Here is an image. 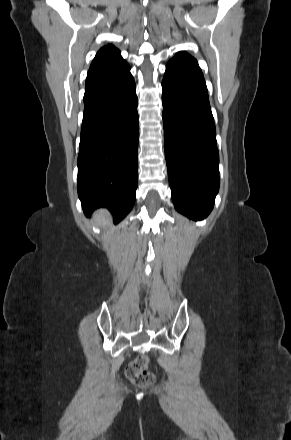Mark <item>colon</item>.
Masks as SVG:
<instances>
[{
	"mask_svg": "<svg viewBox=\"0 0 291 440\" xmlns=\"http://www.w3.org/2000/svg\"><path fill=\"white\" fill-rule=\"evenodd\" d=\"M148 363V357L143 355L127 364L126 375L135 385L143 386L154 382V374L147 370Z\"/></svg>",
	"mask_w": 291,
	"mask_h": 440,
	"instance_id": "obj_1",
	"label": "colon"
}]
</instances>
